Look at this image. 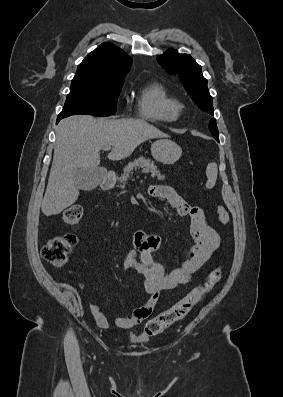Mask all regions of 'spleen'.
I'll return each instance as SVG.
<instances>
[{
    "label": "spleen",
    "instance_id": "1",
    "mask_svg": "<svg viewBox=\"0 0 283 397\" xmlns=\"http://www.w3.org/2000/svg\"><path fill=\"white\" fill-rule=\"evenodd\" d=\"M217 174H218V167L215 162H211L208 164L206 168V176L208 178L207 181V186L212 188L217 180Z\"/></svg>",
    "mask_w": 283,
    "mask_h": 397
}]
</instances>
